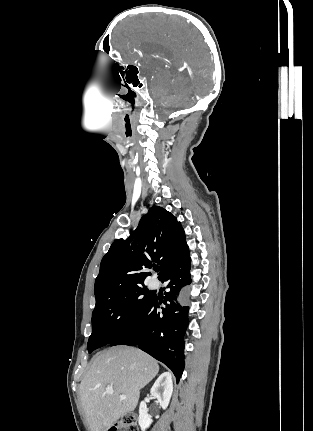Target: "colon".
Wrapping results in <instances>:
<instances>
[{
  "label": "colon",
  "instance_id": "1",
  "mask_svg": "<svg viewBox=\"0 0 313 431\" xmlns=\"http://www.w3.org/2000/svg\"><path fill=\"white\" fill-rule=\"evenodd\" d=\"M109 431H138L136 415L125 414Z\"/></svg>",
  "mask_w": 313,
  "mask_h": 431
}]
</instances>
